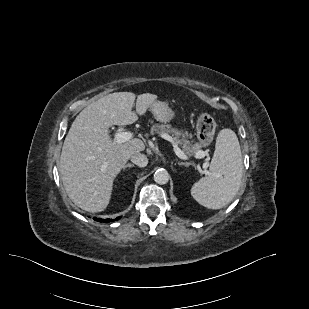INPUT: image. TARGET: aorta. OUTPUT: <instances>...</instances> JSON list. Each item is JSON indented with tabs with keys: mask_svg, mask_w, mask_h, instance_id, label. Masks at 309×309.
Returning a JSON list of instances; mask_svg holds the SVG:
<instances>
[{
	"mask_svg": "<svg viewBox=\"0 0 309 309\" xmlns=\"http://www.w3.org/2000/svg\"><path fill=\"white\" fill-rule=\"evenodd\" d=\"M154 181L160 185L166 184L169 181L168 172L163 168L156 170L154 173Z\"/></svg>",
	"mask_w": 309,
	"mask_h": 309,
	"instance_id": "aorta-1",
	"label": "aorta"
}]
</instances>
